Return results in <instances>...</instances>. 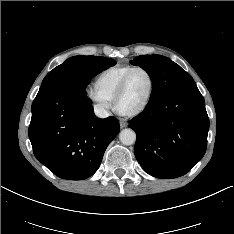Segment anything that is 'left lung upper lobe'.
Instances as JSON below:
<instances>
[{"instance_id": "1", "label": "left lung upper lobe", "mask_w": 234, "mask_h": 234, "mask_svg": "<svg viewBox=\"0 0 234 234\" xmlns=\"http://www.w3.org/2000/svg\"><path fill=\"white\" fill-rule=\"evenodd\" d=\"M131 64L143 68L152 80V93L147 105L152 104L177 86L193 81V78L179 65L161 55H141Z\"/></svg>"}]
</instances>
